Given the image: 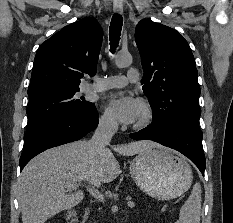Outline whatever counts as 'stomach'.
Instances as JSON below:
<instances>
[{
  "label": "stomach",
  "instance_id": "0dacf381",
  "mask_svg": "<svg viewBox=\"0 0 233 223\" xmlns=\"http://www.w3.org/2000/svg\"><path fill=\"white\" fill-rule=\"evenodd\" d=\"M138 187L155 199H174L189 189L193 175L185 157L168 147H148L130 161Z\"/></svg>",
  "mask_w": 233,
  "mask_h": 223
}]
</instances>
